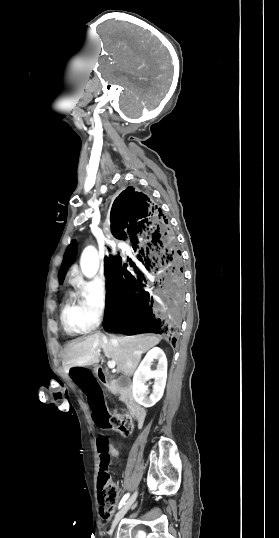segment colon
I'll list each match as a JSON object with an SVG mask.
<instances>
[{"label":"colon","instance_id":"1","mask_svg":"<svg viewBox=\"0 0 279 538\" xmlns=\"http://www.w3.org/2000/svg\"><path fill=\"white\" fill-rule=\"evenodd\" d=\"M108 427L121 435L128 436L134 430V423L128 415H113L109 418ZM100 455V469L98 475V501L99 512L103 519H110L115 511L118 501V489L111 481L108 473L111 449L104 437L97 440Z\"/></svg>","mask_w":279,"mask_h":538}]
</instances>
